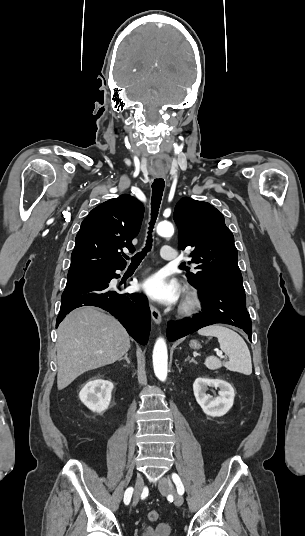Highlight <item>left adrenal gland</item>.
Listing matches in <instances>:
<instances>
[{
  "label": "left adrenal gland",
  "mask_w": 305,
  "mask_h": 536,
  "mask_svg": "<svg viewBox=\"0 0 305 536\" xmlns=\"http://www.w3.org/2000/svg\"><path fill=\"white\" fill-rule=\"evenodd\" d=\"M190 362H194V358H191Z\"/></svg>",
  "instance_id": "left-adrenal-gland-1"
}]
</instances>
